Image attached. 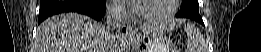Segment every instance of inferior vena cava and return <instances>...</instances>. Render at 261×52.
<instances>
[{
    "mask_svg": "<svg viewBox=\"0 0 261 52\" xmlns=\"http://www.w3.org/2000/svg\"><path fill=\"white\" fill-rule=\"evenodd\" d=\"M125 17L126 8L123 4L114 2L107 6L105 26V37L107 40L114 38L113 32L123 25Z\"/></svg>",
    "mask_w": 261,
    "mask_h": 52,
    "instance_id": "obj_1",
    "label": "inferior vena cava"
}]
</instances>
